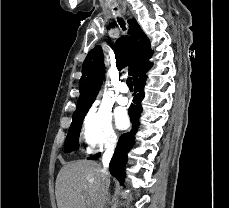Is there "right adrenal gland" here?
I'll use <instances>...</instances> for the list:
<instances>
[{"mask_svg":"<svg viewBox=\"0 0 229 208\" xmlns=\"http://www.w3.org/2000/svg\"><path fill=\"white\" fill-rule=\"evenodd\" d=\"M106 202H110V194H108V192H107V196H106Z\"/></svg>","mask_w":229,"mask_h":208,"instance_id":"2a0ac1e0","label":"right adrenal gland"}]
</instances>
